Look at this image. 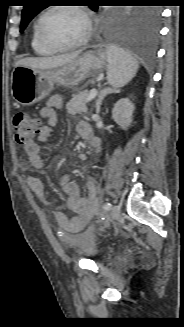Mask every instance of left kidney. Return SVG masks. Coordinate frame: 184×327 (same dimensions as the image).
Here are the masks:
<instances>
[{"label": "left kidney", "instance_id": "left-kidney-1", "mask_svg": "<svg viewBox=\"0 0 184 327\" xmlns=\"http://www.w3.org/2000/svg\"><path fill=\"white\" fill-rule=\"evenodd\" d=\"M134 109V105L128 98L120 99L114 105L112 118L118 125L126 130L132 122Z\"/></svg>", "mask_w": 184, "mask_h": 327}]
</instances>
